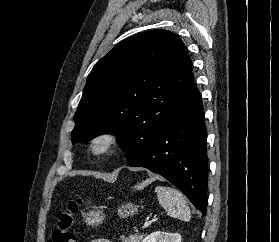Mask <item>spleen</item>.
I'll return each mask as SVG.
<instances>
[{
    "label": "spleen",
    "instance_id": "1",
    "mask_svg": "<svg viewBox=\"0 0 279 242\" xmlns=\"http://www.w3.org/2000/svg\"><path fill=\"white\" fill-rule=\"evenodd\" d=\"M159 204L167 211L171 217L189 221L191 217L190 209L185 197L175 188L157 186L155 188Z\"/></svg>",
    "mask_w": 279,
    "mask_h": 242
}]
</instances>
